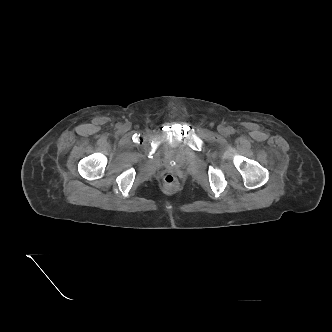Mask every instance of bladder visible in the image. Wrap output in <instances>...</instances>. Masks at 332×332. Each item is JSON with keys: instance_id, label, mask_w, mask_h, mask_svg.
Wrapping results in <instances>:
<instances>
[{"instance_id": "bladder-1", "label": "bladder", "mask_w": 332, "mask_h": 332, "mask_svg": "<svg viewBox=\"0 0 332 332\" xmlns=\"http://www.w3.org/2000/svg\"><path fill=\"white\" fill-rule=\"evenodd\" d=\"M169 152H170V156L178 159L179 154H180V147L179 146H169Z\"/></svg>"}]
</instances>
